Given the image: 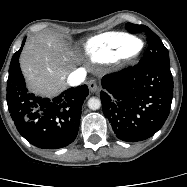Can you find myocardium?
Masks as SVG:
<instances>
[{
    "mask_svg": "<svg viewBox=\"0 0 187 187\" xmlns=\"http://www.w3.org/2000/svg\"><path fill=\"white\" fill-rule=\"evenodd\" d=\"M141 48H142V45H140V46L137 48V50H136L132 55L138 53V52L141 50Z\"/></svg>",
    "mask_w": 187,
    "mask_h": 187,
    "instance_id": "1",
    "label": "myocardium"
}]
</instances>
